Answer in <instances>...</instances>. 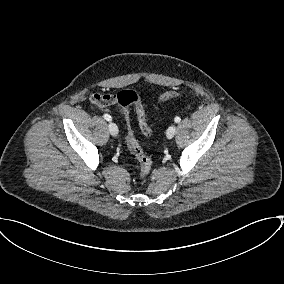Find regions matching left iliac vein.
<instances>
[{
    "label": "left iliac vein",
    "instance_id": "1",
    "mask_svg": "<svg viewBox=\"0 0 284 284\" xmlns=\"http://www.w3.org/2000/svg\"><path fill=\"white\" fill-rule=\"evenodd\" d=\"M176 133V126L175 125H171L168 129H167V132H166V136L168 139H171L174 137Z\"/></svg>",
    "mask_w": 284,
    "mask_h": 284
}]
</instances>
